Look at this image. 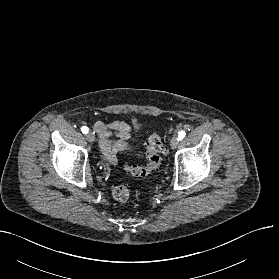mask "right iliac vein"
Returning <instances> with one entry per match:
<instances>
[{
	"label": "right iliac vein",
	"instance_id": "right-iliac-vein-1",
	"mask_svg": "<svg viewBox=\"0 0 279 279\" xmlns=\"http://www.w3.org/2000/svg\"><path fill=\"white\" fill-rule=\"evenodd\" d=\"M86 139L88 142L93 143L95 141V135L93 134V132H88L86 134Z\"/></svg>",
	"mask_w": 279,
	"mask_h": 279
}]
</instances>
